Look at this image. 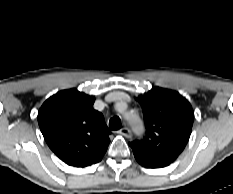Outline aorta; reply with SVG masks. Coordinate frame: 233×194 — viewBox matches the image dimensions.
<instances>
[{
    "mask_svg": "<svg viewBox=\"0 0 233 194\" xmlns=\"http://www.w3.org/2000/svg\"><path fill=\"white\" fill-rule=\"evenodd\" d=\"M132 121L137 125L141 127V121L138 118H132Z\"/></svg>",
    "mask_w": 233,
    "mask_h": 194,
    "instance_id": "1",
    "label": "aorta"
}]
</instances>
